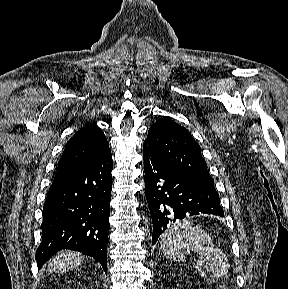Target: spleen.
I'll list each match as a JSON object with an SVG mask.
<instances>
[{
	"label": "spleen",
	"mask_w": 288,
	"mask_h": 289,
	"mask_svg": "<svg viewBox=\"0 0 288 289\" xmlns=\"http://www.w3.org/2000/svg\"><path fill=\"white\" fill-rule=\"evenodd\" d=\"M161 247L166 258L172 261L185 260L184 250H192L199 255L193 266L204 277L203 265H207L213 279H218L229 270L226 255L214 246L210 236L189 220H180L167 228L161 236Z\"/></svg>",
	"instance_id": "1"
}]
</instances>
